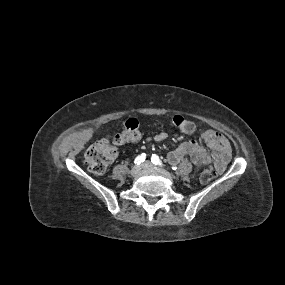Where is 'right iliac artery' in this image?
I'll return each mask as SVG.
<instances>
[{"mask_svg":"<svg viewBox=\"0 0 285 285\" xmlns=\"http://www.w3.org/2000/svg\"><path fill=\"white\" fill-rule=\"evenodd\" d=\"M145 159H146V154L142 153L135 158L134 163L137 165H140L141 163H143L145 161Z\"/></svg>","mask_w":285,"mask_h":285,"instance_id":"1","label":"right iliac artery"}]
</instances>
